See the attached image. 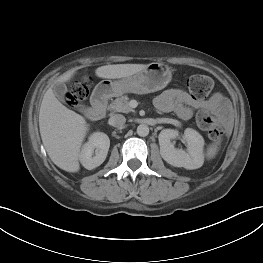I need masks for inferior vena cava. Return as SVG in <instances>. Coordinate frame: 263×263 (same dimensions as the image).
Instances as JSON below:
<instances>
[{
    "instance_id": "602c4592",
    "label": "inferior vena cava",
    "mask_w": 263,
    "mask_h": 263,
    "mask_svg": "<svg viewBox=\"0 0 263 263\" xmlns=\"http://www.w3.org/2000/svg\"><path fill=\"white\" fill-rule=\"evenodd\" d=\"M126 122V118L122 114H114L109 119V124L112 126H123Z\"/></svg>"
}]
</instances>
